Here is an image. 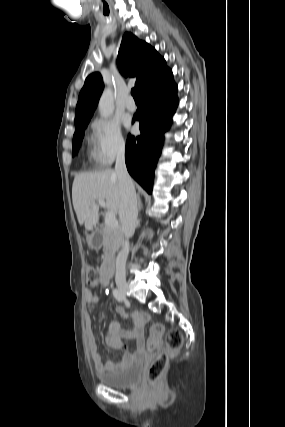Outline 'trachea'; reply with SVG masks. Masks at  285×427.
<instances>
[{"label": "trachea", "mask_w": 285, "mask_h": 427, "mask_svg": "<svg viewBox=\"0 0 285 427\" xmlns=\"http://www.w3.org/2000/svg\"><path fill=\"white\" fill-rule=\"evenodd\" d=\"M131 94L135 100H140L138 89L136 87L132 88Z\"/></svg>", "instance_id": "1"}]
</instances>
